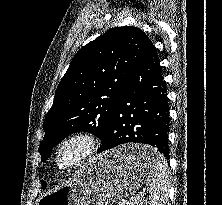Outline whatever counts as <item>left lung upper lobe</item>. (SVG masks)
Segmentation results:
<instances>
[{
    "mask_svg": "<svg viewBox=\"0 0 222 205\" xmlns=\"http://www.w3.org/2000/svg\"><path fill=\"white\" fill-rule=\"evenodd\" d=\"M148 41L137 27H116L77 52L43 123L45 136L38 150L43 161L71 133L87 131L100 139L106 134L119 95Z\"/></svg>",
    "mask_w": 222,
    "mask_h": 205,
    "instance_id": "left-lung-upper-lobe-1",
    "label": "left lung upper lobe"
}]
</instances>
